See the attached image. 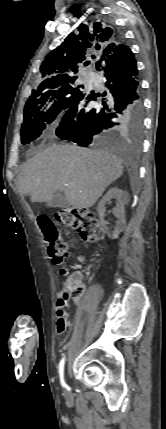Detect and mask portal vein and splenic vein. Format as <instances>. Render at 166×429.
Here are the masks:
<instances>
[{
  "instance_id": "1",
  "label": "portal vein and splenic vein",
  "mask_w": 166,
  "mask_h": 429,
  "mask_svg": "<svg viewBox=\"0 0 166 429\" xmlns=\"http://www.w3.org/2000/svg\"><path fill=\"white\" fill-rule=\"evenodd\" d=\"M65 186H69V184H65Z\"/></svg>"
}]
</instances>
